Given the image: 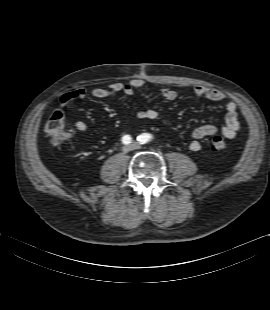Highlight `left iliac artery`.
Segmentation results:
<instances>
[{"label":"left iliac artery","mask_w":270,"mask_h":310,"mask_svg":"<svg viewBox=\"0 0 270 310\" xmlns=\"http://www.w3.org/2000/svg\"><path fill=\"white\" fill-rule=\"evenodd\" d=\"M151 138H152V136L150 134H142V135L137 137V140L141 144H145V143L149 142L151 140Z\"/></svg>","instance_id":"44dca946"}]
</instances>
